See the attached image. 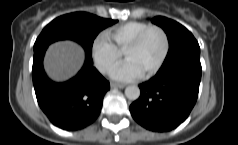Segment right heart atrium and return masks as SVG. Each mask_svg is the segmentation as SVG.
Returning a JSON list of instances; mask_svg holds the SVG:
<instances>
[{"instance_id": "d8ad5b80", "label": "right heart atrium", "mask_w": 238, "mask_h": 145, "mask_svg": "<svg viewBox=\"0 0 238 145\" xmlns=\"http://www.w3.org/2000/svg\"><path fill=\"white\" fill-rule=\"evenodd\" d=\"M91 56L102 74H109L120 62L121 52L104 35H97L91 43Z\"/></svg>"}]
</instances>
